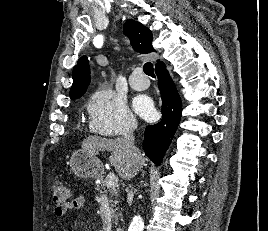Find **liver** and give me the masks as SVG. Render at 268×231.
Masks as SVG:
<instances>
[{
	"label": "liver",
	"mask_w": 268,
	"mask_h": 231,
	"mask_svg": "<svg viewBox=\"0 0 268 231\" xmlns=\"http://www.w3.org/2000/svg\"><path fill=\"white\" fill-rule=\"evenodd\" d=\"M82 148L94 155L98 151L111 152L109 162L123 179L132 178L145 162L141 154L139 161L133 162L130 151L127 149L122 138L106 139L98 136H89L82 141Z\"/></svg>",
	"instance_id": "6515ba94"
}]
</instances>
